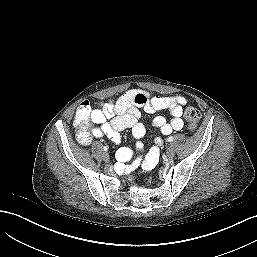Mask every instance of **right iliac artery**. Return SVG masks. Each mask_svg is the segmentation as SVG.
<instances>
[{
  "label": "right iliac artery",
  "instance_id": "1",
  "mask_svg": "<svg viewBox=\"0 0 257 257\" xmlns=\"http://www.w3.org/2000/svg\"><path fill=\"white\" fill-rule=\"evenodd\" d=\"M103 149H104V151H107V150H108V147H107V146H104Z\"/></svg>",
  "mask_w": 257,
  "mask_h": 257
}]
</instances>
